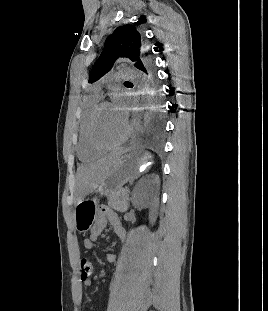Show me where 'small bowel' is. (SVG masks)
I'll list each match as a JSON object with an SVG mask.
<instances>
[{
	"instance_id": "c3829d8e",
	"label": "small bowel",
	"mask_w": 268,
	"mask_h": 311,
	"mask_svg": "<svg viewBox=\"0 0 268 311\" xmlns=\"http://www.w3.org/2000/svg\"><path fill=\"white\" fill-rule=\"evenodd\" d=\"M110 224L116 233L117 237L123 242L126 239V231L123 228L118 216L113 211L103 208L91 229L90 235L84 239V246L87 249H91L94 243L99 239L102 231L107 224ZM107 258L110 262L116 261V256L114 254H107ZM82 282L85 286H90L92 284L91 278H82Z\"/></svg>"
}]
</instances>
